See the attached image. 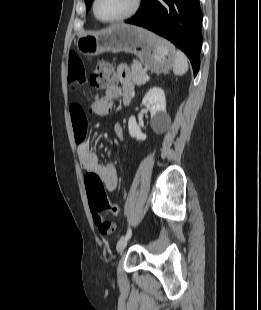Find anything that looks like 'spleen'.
Returning a JSON list of instances; mask_svg holds the SVG:
<instances>
[{"instance_id":"3e777b00","label":"spleen","mask_w":261,"mask_h":310,"mask_svg":"<svg viewBox=\"0 0 261 310\" xmlns=\"http://www.w3.org/2000/svg\"><path fill=\"white\" fill-rule=\"evenodd\" d=\"M188 71V60L181 51L175 52V61L173 64V72L175 75L181 76Z\"/></svg>"}]
</instances>
